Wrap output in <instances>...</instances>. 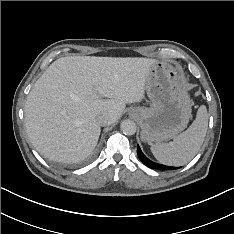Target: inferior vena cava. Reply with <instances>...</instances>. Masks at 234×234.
<instances>
[{
    "label": "inferior vena cava",
    "instance_id": "1",
    "mask_svg": "<svg viewBox=\"0 0 234 234\" xmlns=\"http://www.w3.org/2000/svg\"><path fill=\"white\" fill-rule=\"evenodd\" d=\"M97 122L101 126L108 125L110 123V116L107 113H103L97 117Z\"/></svg>",
    "mask_w": 234,
    "mask_h": 234
}]
</instances>
